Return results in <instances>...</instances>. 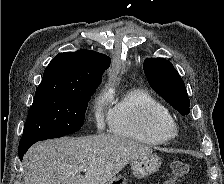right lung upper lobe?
Segmentation results:
<instances>
[{
  "label": "right lung upper lobe",
  "instance_id": "cb5924a9",
  "mask_svg": "<svg viewBox=\"0 0 224 184\" xmlns=\"http://www.w3.org/2000/svg\"><path fill=\"white\" fill-rule=\"evenodd\" d=\"M111 59L89 50L55 56L44 71L36 93H74L96 90Z\"/></svg>",
  "mask_w": 224,
  "mask_h": 184
}]
</instances>
